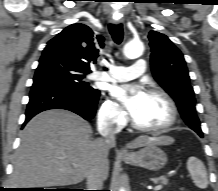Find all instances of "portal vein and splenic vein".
<instances>
[{"label":"portal vein and splenic vein","instance_id":"obj_1","mask_svg":"<svg viewBox=\"0 0 218 191\" xmlns=\"http://www.w3.org/2000/svg\"><path fill=\"white\" fill-rule=\"evenodd\" d=\"M68 156L66 155V154H62V157L61 158H67ZM75 166H77L76 164H75ZM162 189V185H157V186H155L154 187V191H159V190H161Z\"/></svg>","mask_w":218,"mask_h":191}]
</instances>
